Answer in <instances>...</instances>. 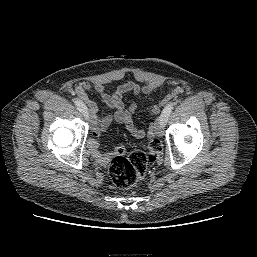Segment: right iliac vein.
<instances>
[{"label":"right iliac vein","mask_w":257,"mask_h":257,"mask_svg":"<svg viewBox=\"0 0 257 257\" xmlns=\"http://www.w3.org/2000/svg\"><path fill=\"white\" fill-rule=\"evenodd\" d=\"M85 116V119L89 122H91L93 124L94 122V116L93 114L91 113L90 110H87L86 114L84 115Z\"/></svg>","instance_id":"1"}]
</instances>
